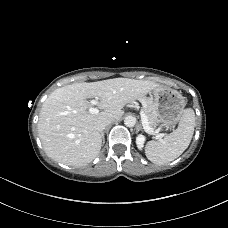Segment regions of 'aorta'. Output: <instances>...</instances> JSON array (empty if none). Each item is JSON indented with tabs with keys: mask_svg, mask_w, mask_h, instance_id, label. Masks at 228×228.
<instances>
[{
	"mask_svg": "<svg viewBox=\"0 0 228 228\" xmlns=\"http://www.w3.org/2000/svg\"><path fill=\"white\" fill-rule=\"evenodd\" d=\"M124 124H125L127 127H134L135 124H136V118L133 117V116H127V117H125V119H124Z\"/></svg>",
	"mask_w": 228,
	"mask_h": 228,
	"instance_id": "762f6f07",
	"label": "aorta"
}]
</instances>
